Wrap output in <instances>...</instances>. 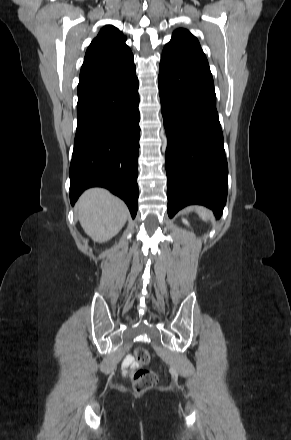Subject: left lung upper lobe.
Wrapping results in <instances>:
<instances>
[{
  "label": "left lung upper lobe",
  "instance_id": "obj_1",
  "mask_svg": "<svg viewBox=\"0 0 291 440\" xmlns=\"http://www.w3.org/2000/svg\"><path fill=\"white\" fill-rule=\"evenodd\" d=\"M162 56L182 63L209 68L198 40L183 28L174 31L172 39L163 49Z\"/></svg>",
  "mask_w": 291,
  "mask_h": 440
}]
</instances>
